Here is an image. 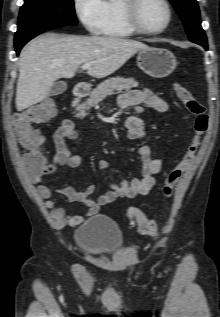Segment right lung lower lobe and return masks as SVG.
Masks as SVG:
<instances>
[{
    "instance_id": "1",
    "label": "right lung lower lobe",
    "mask_w": 220,
    "mask_h": 317,
    "mask_svg": "<svg viewBox=\"0 0 220 317\" xmlns=\"http://www.w3.org/2000/svg\"><path fill=\"white\" fill-rule=\"evenodd\" d=\"M58 27H62V26H47V27H43V28H39V29H36L32 32H30L28 35L22 37L21 39L19 40H15V51L17 54H19L21 48L29 41L31 40L32 38H34L35 36L47 31V30H50V29H54V28H58Z\"/></svg>"
}]
</instances>
